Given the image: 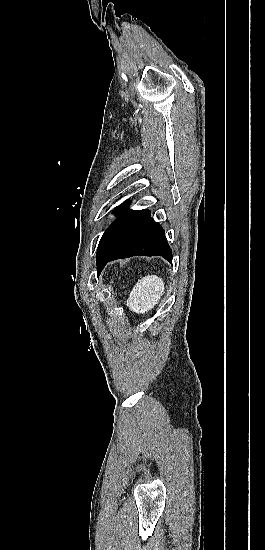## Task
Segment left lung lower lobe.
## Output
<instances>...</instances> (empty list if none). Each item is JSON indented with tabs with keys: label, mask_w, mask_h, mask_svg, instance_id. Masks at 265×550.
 <instances>
[{
	"label": "left lung lower lobe",
	"mask_w": 265,
	"mask_h": 550,
	"mask_svg": "<svg viewBox=\"0 0 265 550\" xmlns=\"http://www.w3.org/2000/svg\"><path fill=\"white\" fill-rule=\"evenodd\" d=\"M135 255H158L172 263V250L164 230L151 218L150 213L112 251L104 256H97L98 275L109 261Z\"/></svg>",
	"instance_id": "obj_1"
}]
</instances>
